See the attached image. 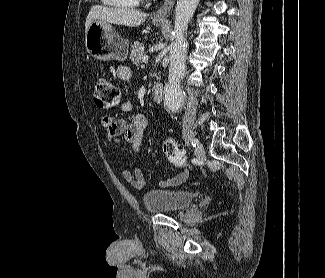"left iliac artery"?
I'll use <instances>...</instances> for the list:
<instances>
[{"instance_id": "left-iliac-artery-1", "label": "left iliac artery", "mask_w": 325, "mask_h": 278, "mask_svg": "<svg viewBox=\"0 0 325 278\" xmlns=\"http://www.w3.org/2000/svg\"><path fill=\"white\" fill-rule=\"evenodd\" d=\"M198 142H199V140L195 138V139L192 140L191 144H192L193 147H195Z\"/></svg>"}]
</instances>
